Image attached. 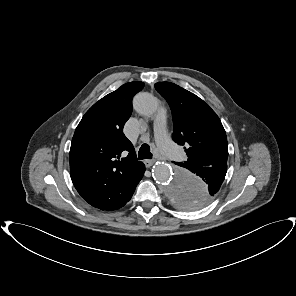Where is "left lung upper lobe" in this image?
<instances>
[{"instance_id": "obj_1", "label": "left lung upper lobe", "mask_w": 296, "mask_h": 296, "mask_svg": "<svg viewBox=\"0 0 296 296\" xmlns=\"http://www.w3.org/2000/svg\"><path fill=\"white\" fill-rule=\"evenodd\" d=\"M155 88L171 108L175 126L173 139L179 145L187 147H184L188 156L187 161L176 164L196 175L204 167H211L213 171L219 170L222 166L227 167L226 132L219 117L210 106L195 94L174 83L158 82ZM195 193L177 191L173 195V202L185 210L200 209L204 205L196 204ZM214 196L210 194L209 201Z\"/></svg>"}]
</instances>
